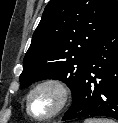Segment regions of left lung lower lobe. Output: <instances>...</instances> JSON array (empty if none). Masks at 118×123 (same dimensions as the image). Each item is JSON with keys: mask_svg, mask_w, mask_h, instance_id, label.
Instances as JSON below:
<instances>
[{"mask_svg": "<svg viewBox=\"0 0 118 123\" xmlns=\"http://www.w3.org/2000/svg\"><path fill=\"white\" fill-rule=\"evenodd\" d=\"M85 116L118 120V19L93 47L73 103L62 121Z\"/></svg>", "mask_w": 118, "mask_h": 123, "instance_id": "1", "label": "left lung lower lobe"}]
</instances>
